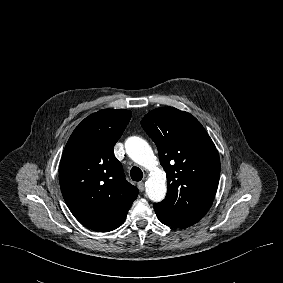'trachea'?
<instances>
[{
  "mask_svg": "<svg viewBox=\"0 0 283 283\" xmlns=\"http://www.w3.org/2000/svg\"><path fill=\"white\" fill-rule=\"evenodd\" d=\"M130 176L133 181H140L143 178V172L138 167H132L130 171Z\"/></svg>",
  "mask_w": 283,
  "mask_h": 283,
  "instance_id": "obj_1",
  "label": "trachea"
}]
</instances>
